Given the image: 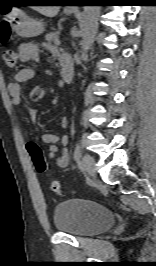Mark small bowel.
I'll list each match as a JSON object with an SVG mask.
<instances>
[{
	"mask_svg": "<svg viewBox=\"0 0 156 266\" xmlns=\"http://www.w3.org/2000/svg\"><path fill=\"white\" fill-rule=\"evenodd\" d=\"M19 59L23 62L29 61H39V49L33 43H22L18 48ZM67 57V55L61 56V60ZM35 75V72L31 68H24L20 70L11 80L8 85V91L12 98V103L15 106H24V98L22 93L21 84L27 80H30ZM30 119L35 121L36 112L34 109L27 108ZM62 128L68 126V119L63 117L61 120ZM25 133L27 131L25 130ZM40 142L49 144L48 157L55 158L58 167L65 168L68 166L70 161V156L67 150V145L69 143V136L67 134L59 137L56 134L45 133L40 136Z\"/></svg>",
	"mask_w": 156,
	"mask_h": 266,
	"instance_id": "small-bowel-1",
	"label": "small bowel"
}]
</instances>
